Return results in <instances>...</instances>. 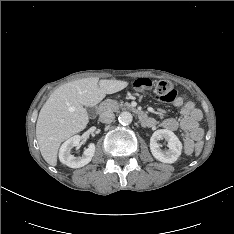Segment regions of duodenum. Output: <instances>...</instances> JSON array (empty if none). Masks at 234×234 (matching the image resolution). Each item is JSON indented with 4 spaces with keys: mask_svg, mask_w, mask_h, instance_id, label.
<instances>
[{
    "mask_svg": "<svg viewBox=\"0 0 234 234\" xmlns=\"http://www.w3.org/2000/svg\"><path fill=\"white\" fill-rule=\"evenodd\" d=\"M110 107H111L110 104L105 103V104L101 105L100 112L104 113V112L108 111L110 109ZM137 114H138V118H139L140 122L143 125H147L150 122V118L145 113L137 112Z\"/></svg>",
    "mask_w": 234,
    "mask_h": 234,
    "instance_id": "obj_1",
    "label": "duodenum"
}]
</instances>
